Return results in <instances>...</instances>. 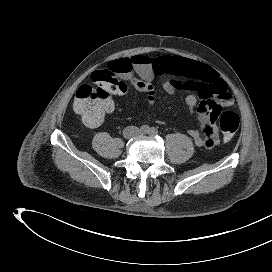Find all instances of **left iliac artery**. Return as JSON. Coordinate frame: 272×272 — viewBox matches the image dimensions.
<instances>
[{
    "label": "left iliac artery",
    "instance_id": "44dca946",
    "mask_svg": "<svg viewBox=\"0 0 272 272\" xmlns=\"http://www.w3.org/2000/svg\"><path fill=\"white\" fill-rule=\"evenodd\" d=\"M157 133H158V130L156 128H154V127L150 128L149 134L151 136L157 135Z\"/></svg>",
    "mask_w": 272,
    "mask_h": 272
}]
</instances>
